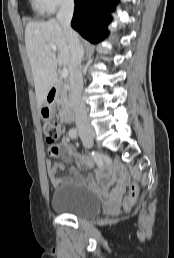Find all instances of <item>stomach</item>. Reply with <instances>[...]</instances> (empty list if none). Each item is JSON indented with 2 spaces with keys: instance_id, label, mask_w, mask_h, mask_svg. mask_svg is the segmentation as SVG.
Instances as JSON below:
<instances>
[{
  "instance_id": "obj_1",
  "label": "stomach",
  "mask_w": 174,
  "mask_h": 258,
  "mask_svg": "<svg viewBox=\"0 0 174 258\" xmlns=\"http://www.w3.org/2000/svg\"><path fill=\"white\" fill-rule=\"evenodd\" d=\"M39 114L44 120L52 119L55 115V104L48 102L46 99L39 110Z\"/></svg>"
}]
</instances>
